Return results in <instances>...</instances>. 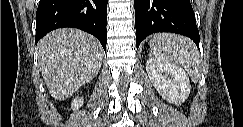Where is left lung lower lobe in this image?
Listing matches in <instances>:
<instances>
[{"label": "left lung lower lobe", "instance_id": "left-lung-lower-lobe-1", "mask_svg": "<svg viewBox=\"0 0 243 127\" xmlns=\"http://www.w3.org/2000/svg\"><path fill=\"white\" fill-rule=\"evenodd\" d=\"M136 46L152 33L185 35L199 47V31L190 0H134Z\"/></svg>", "mask_w": 243, "mask_h": 127}]
</instances>
